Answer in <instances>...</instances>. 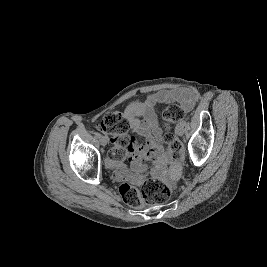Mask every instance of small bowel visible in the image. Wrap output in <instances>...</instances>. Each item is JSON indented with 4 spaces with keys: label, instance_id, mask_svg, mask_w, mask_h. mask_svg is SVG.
Masks as SVG:
<instances>
[{
    "label": "small bowel",
    "instance_id": "1",
    "mask_svg": "<svg viewBox=\"0 0 267 267\" xmlns=\"http://www.w3.org/2000/svg\"><path fill=\"white\" fill-rule=\"evenodd\" d=\"M197 99L194 89H170L152 93L143 102L129 106L127 116L135 137L128 155L129 165L113 163V177L116 181L137 185L148 175L164 178L169 175L177 177L180 163L162 146V136L159 130L157 109L161 104L180 103L185 109H190Z\"/></svg>",
    "mask_w": 267,
    "mask_h": 267
}]
</instances>
